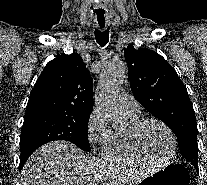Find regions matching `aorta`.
<instances>
[{
    "label": "aorta",
    "instance_id": "762f6f07",
    "mask_svg": "<svg viewBox=\"0 0 207 185\" xmlns=\"http://www.w3.org/2000/svg\"><path fill=\"white\" fill-rule=\"evenodd\" d=\"M125 72L126 65L120 60L104 64L95 92L97 109L114 128H122L127 123V117L118 104V92Z\"/></svg>",
    "mask_w": 207,
    "mask_h": 185
}]
</instances>
